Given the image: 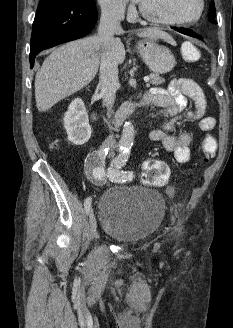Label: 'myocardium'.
I'll return each instance as SVG.
<instances>
[{
	"label": "myocardium",
	"instance_id": "myocardium-1",
	"mask_svg": "<svg viewBox=\"0 0 233 328\" xmlns=\"http://www.w3.org/2000/svg\"><path fill=\"white\" fill-rule=\"evenodd\" d=\"M204 11H205V0H198V11H197V14L192 19L169 20V19H163V18L154 16V15L148 13L142 7V5L139 4V12L144 19H146L154 24L163 25V26H192L200 21V19L202 18L203 14H204Z\"/></svg>",
	"mask_w": 233,
	"mask_h": 328
}]
</instances>
